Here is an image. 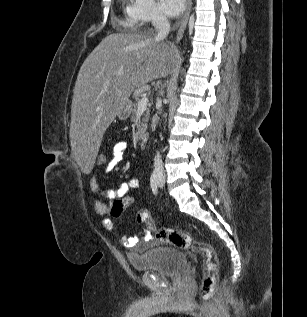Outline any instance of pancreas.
I'll return each mask as SVG.
<instances>
[{"instance_id":"cf45deb5","label":"pancreas","mask_w":307,"mask_h":317,"mask_svg":"<svg viewBox=\"0 0 307 317\" xmlns=\"http://www.w3.org/2000/svg\"><path fill=\"white\" fill-rule=\"evenodd\" d=\"M140 94H141V91L137 90L135 92V97L136 98L139 97ZM137 105H138V99H137V102L133 104V107L130 112L131 121H135L136 114L138 112ZM149 116H150L149 109H146L145 112L143 113V117L141 118V121L137 124V127H136V133L134 134V140L136 142H138L139 140H143V142L145 141L146 139L145 132L147 130V122L149 120Z\"/></svg>"}]
</instances>
